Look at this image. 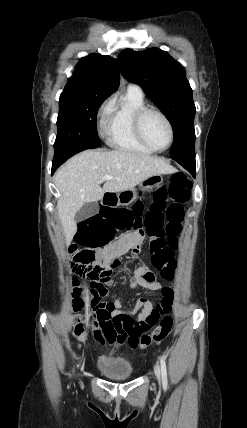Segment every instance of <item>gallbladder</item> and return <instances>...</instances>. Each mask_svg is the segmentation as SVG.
Instances as JSON below:
<instances>
[{"label": "gallbladder", "instance_id": "obj_1", "mask_svg": "<svg viewBox=\"0 0 247 428\" xmlns=\"http://www.w3.org/2000/svg\"><path fill=\"white\" fill-rule=\"evenodd\" d=\"M99 211V205L96 202L85 203L81 209L75 214V221L82 222L94 215Z\"/></svg>", "mask_w": 247, "mask_h": 428}]
</instances>
